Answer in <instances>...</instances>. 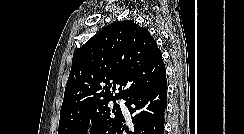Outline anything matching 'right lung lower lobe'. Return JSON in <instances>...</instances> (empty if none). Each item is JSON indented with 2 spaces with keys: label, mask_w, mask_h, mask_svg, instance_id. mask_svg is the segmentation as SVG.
Segmentation results:
<instances>
[{
  "label": "right lung lower lobe",
  "mask_w": 244,
  "mask_h": 134,
  "mask_svg": "<svg viewBox=\"0 0 244 134\" xmlns=\"http://www.w3.org/2000/svg\"><path fill=\"white\" fill-rule=\"evenodd\" d=\"M167 79L164 76L153 85L140 89L125 100L132 117V128L120 116L105 134H164V114L167 106Z\"/></svg>",
  "instance_id": "98d812e1"
}]
</instances>
